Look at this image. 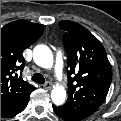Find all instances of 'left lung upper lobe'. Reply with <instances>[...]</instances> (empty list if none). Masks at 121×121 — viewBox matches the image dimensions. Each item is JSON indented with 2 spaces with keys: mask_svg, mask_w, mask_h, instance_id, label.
<instances>
[{
  "mask_svg": "<svg viewBox=\"0 0 121 121\" xmlns=\"http://www.w3.org/2000/svg\"><path fill=\"white\" fill-rule=\"evenodd\" d=\"M66 31L63 42L68 57V100L59 109L69 121L93 114L104 102L112 80V68L101 42L86 28L60 21Z\"/></svg>",
  "mask_w": 121,
  "mask_h": 121,
  "instance_id": "5c2ea615",
  "label": "left lung upper lobe"
}]
</instances>
